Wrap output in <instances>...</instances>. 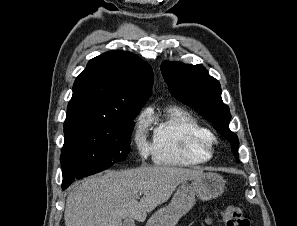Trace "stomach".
<instances>
[{"label":"stomach","mask_w":297,"mask_h":226,"mask_svg":"<svg viewBox=\"0 0 297 226\" xmlns=\"http://www.w3.org/2000/svg\"><path fill=\"white\" fill-rule=\"evenodd\" d=\"M225 181L216 173H204L190 183L184 181L176 190L171 203L156 211L146 226H175L195 204V198L203 201L219 197L224 191Z\"/></svg>","instance_id":"0dacf381"}]
</instances>
